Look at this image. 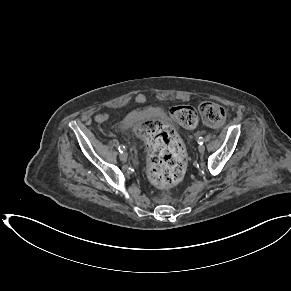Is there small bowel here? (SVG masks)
I'll use <instances>...</instances> for the list:
<instances>
[{
	"instance_id": "obj_1",
	"label": "small bowel",
	"mask_w": 291,
	"mask_h": 291,
	"mask_svg": "<svg viewBox=\"0 0 291 291\" xmlns=\"http://www.w3.org/2000/svg\"><path fill=\"white\" fill-rule=\"evenodd\" d=\"M107 118H108V115L106 113H99L95 117L96 121L99 123L105 122Z\"/></svg>"
}]
</instances>
